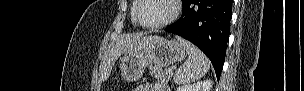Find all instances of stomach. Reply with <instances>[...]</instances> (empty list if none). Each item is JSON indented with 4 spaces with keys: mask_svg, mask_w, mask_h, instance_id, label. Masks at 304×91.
<instances>
[{
    "mask_svg": "<svg viewBox=\"0 0 304 91\" xmlns=\"http://www.w3.org/2000/svg\"><path fill=\"white\" fill-rule=\"evenodd\" d=\"M185 56L186 50L177 40L153 36L144 48L125 52L120 59V69L123 78L133 82L142 77L148 65L162 69L183 60Z\"/></svg>",
    "mask_w": 304,
    "mask_h": 91,
    "instance_id": "obj_1",
    "label": "stomach"
}]
</instances>
